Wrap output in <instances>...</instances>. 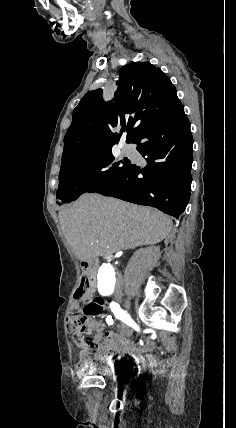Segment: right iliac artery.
Returning a JSON list of instances; mask_svg holds the SVG:
<instances>
[{
  "instance_id": "obj_1",
  "label": "right iliac artery",
  "mask_w": 236,
  "mask_h": 428,
  "mask_svg": "<svg viewBox=\"0 0 236 428\" xmlns=\"http://www.w3.org/2000/svg\"><path fill=\"white\" fill-rule=\"evenodd\" d=\"M111 311L114 313L115 317L121 321H123L128 326L134 328L136 331H140L139 326L133 321L130 315L120 308V305L116 302L110 303Z\"/></svg>"
}]
</instances>
